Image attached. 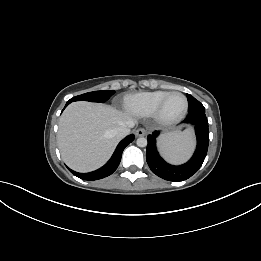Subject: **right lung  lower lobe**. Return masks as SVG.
<instances>
[{
	"mask_svg": "<svg viewBox=\"0 0 261 261\" xmlns=\"http://www.w3.org/2000/svg\"><path fill=\"white\" fill-rule=\"evenodd\" d=\"M69 104V102L66 103V106ZM65 106V107H66ZM135 136L129 135L127 136L125 139H123L117 146L115 152L113 153L111 159L101 168L93 171V172H89V173H78L75 172L71 169H69L71 171V173H73L75 176L83 179V180H88V181H94V180H98V179H102L104 177H107L109 175H111L118 167L120 161H121V157H122V152L124 150V148L131 143L134 140Z\"/></svg>",
	"mask_w": 261,
	"mask_h": 261,
	"instance_id": "98d812e1",
	"label": "right lung lower lobe"
}]
</instances>
